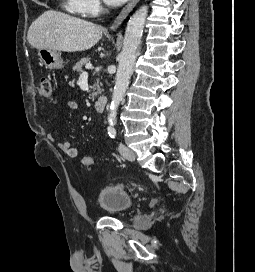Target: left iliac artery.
<instances>
[{"label":"left iliac artery","instance_id":"1","mask_svg":"<svg viewBox=\"0 0 255 272\" xmlns=\"http://www.w3.org/2000/svg\"><path fill=\"white\" fill-rule=\"evenodd\" d=\"M108 134L111 138H115L116 137V129L114 127H109Z\"/></svg>","mask_w":255,"mask_h":272}]
</instances>
